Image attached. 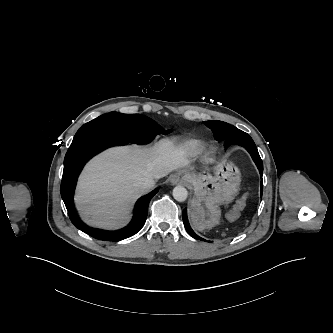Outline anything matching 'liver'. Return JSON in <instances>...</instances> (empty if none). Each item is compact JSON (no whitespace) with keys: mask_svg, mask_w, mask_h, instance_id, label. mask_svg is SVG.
I'll return each mask as SVG.
<instances>
[{"mask_svg":"<svg viewBox=\"0 0 333 333\" xmlns=\"http://www.w3.org/2000/svg\"><path fill=\"white\" fill-rule=\"evenodd\" d=\"M192 168L190 153L171 139L151 147L112 148L95 157L82 173L75 196L76 207L88 225L117 229L128 218L135 199L145 191L141 178L158 180L172 171Z\"/></svg>","mask_w":333,"mask_h":333,"instance_id":"liver-1","label":"liver"}]
</instances>
